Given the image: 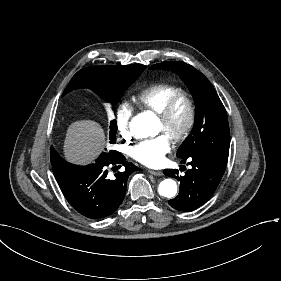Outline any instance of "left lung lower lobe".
<instances>
[{
    "label": "left lung lower lobe",
    "mask_w": 281,
    "mask_h": 281,
    "mask_svg": "<svg viewBox=\"0 0 281 281\" xmlns=\"http://www.w3.org/2000/svg\"><path fill=\"white\" fill-rule=\"evenodd\" d=\"M183 159L191 160L190 169L184 176H178L177 169H166L164 174L180 181L179 195L168 201L169 205L180 211H192L203 205L216 190L227 164H222L202 154L191 155ZM181 162V163H182ZM181 166L182 170L186 168Z\"/></svg>",
    "instance_id": "left-lung-lower-lobe-1"
}]
</instances>
